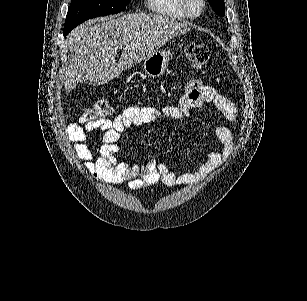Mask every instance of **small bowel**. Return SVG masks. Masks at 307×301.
I'll return each mask as SVG.
<instances>
[{
    "label": "small bowel",
    "instance_id": "obj_1",
    "mask_svg": "<svg viewBox=\"0 0 307 301\" xmlns=\"http://www.w3.org/2000/svg\"><path fill=\"white\" fill-rule=\"evenodd\" d=\"M206 103H211L227 121L238 123V109L231 100L217 93L212 87L204 85L200 80H191L176 105H168L161 109L130 106L112 120H101L88 125L71 123L66 128V134L73 142L76 155L84 161L89 173L97 180L116 185L126 183L131 190H139L158 183L168 187L194 184L207 178L231 155L234 149L233 135L226 125L217 124L213 128L220 148L210 151L206 161L197 171L181 176H176L163 163L150 160L131 165L118 161L116 154L119 152L121 133L131 126L149 124L162 117L184 119L191 110L200 108ZM95 130L103 132L98 155L93 153L86 143L88 134Z\"/></svg>",
    "mask_w": 307,
    "mask_h": 301
}]
</instances>
